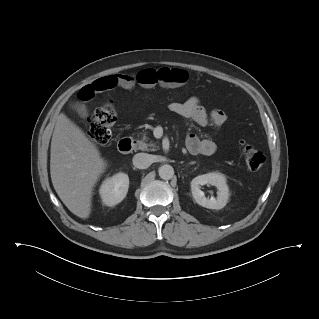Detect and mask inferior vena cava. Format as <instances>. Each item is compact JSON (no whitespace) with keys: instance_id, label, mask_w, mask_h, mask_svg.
Wrapping results in <instances>:
<instances>
[{"instance_id":"1","label":"inferior vena cava","mask_w":319,"mask_h":319,"mask_svg":"<svg viewBox=\"0 0 319 319\" xmlns=\"http://www.w3.org/2000/svg\"><path fill=\"white\" fill-rule=\"evenodd\" d=\"M133 165L139 169H146L151 165V159L147 153H137L133 157Z\"/></svg>"}]
</instances>
